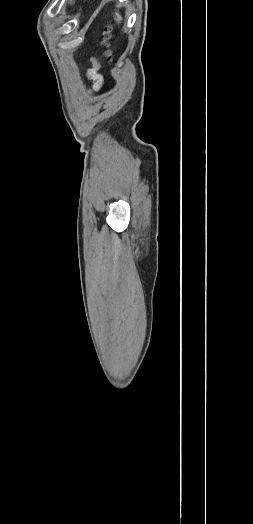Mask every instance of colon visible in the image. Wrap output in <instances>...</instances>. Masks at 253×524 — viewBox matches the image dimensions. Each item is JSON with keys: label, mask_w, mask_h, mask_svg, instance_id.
I'll return each mask as SVG.
<instances>
[{"label": "colon", "mask_w": 253, "mask_h": 524, "mask_svg": "<svg viewBox=\"0 0 253 524\" xmlns=\"http://www.w3.org/2000/svg\"><path fill=\"white\" fill-rule=\"evenodd\" d=\"M111 30L109 28H106L103 33V44L106 47V55L108 57H111L112 52L109 49V40H110Z\"/></svg>", "instance_id": "1"}]
</instances>
